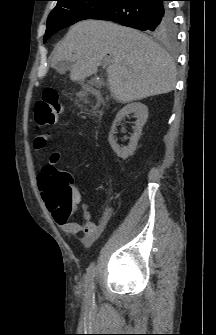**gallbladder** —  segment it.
I'll return each mask as SVG.
<instances>
[{
  "label": "gallbladder",
  "mask_w": 216,
  "mask_h": 335,
  "mask_svg": "<svg viewBox=\"0 0 216 335\" xmlns=\"http://www.w3.org/2000/svg\"><path fill=\"white\" fill-rule=\"evenodd\" d=\"M68 69V66H64L63 68H61L62 71H66Z\"/></svg>",
  "instance_id": "gallbladder-1"
}]
</instances>
